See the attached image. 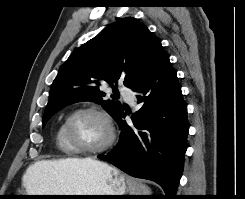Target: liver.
I'll use <instances>...</instances> for the list:
<instances>
[{
  "label": "liver",
  "instance_id": "obj_1",
  "mask_svg": "<svg viewBox=\"0 0 245 199\" xmlns=\"http://www.w3.org/2000/svg\"><path fill=\"white\" fill-rule=\"evenodd\" d=\"M100 164L92 158L38 161L27 168L23 177V184L28 192L61 193L62 189L56 184V178L62 175H70L87 166Z\"/></svg>",
  "mask_w": 245,
  "mask_h": 199
}]
</instances>
